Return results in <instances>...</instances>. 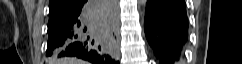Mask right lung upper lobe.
I'll return each instance as SVG.
<instances>
[{
  "mask_svg": "<svg viewBox=\"0 0 242 64\" xmlns=\"http://www.w3.org/2000/svg\"><path fill=\"white\" fill-rule=\"evenodd\" d=\"M83 0H50L49 13H71Z\"/></svg>",
  "mask_w": 242,
  "mask_h": 64,
  "instance_id": "obj_1",
  "label": "right lung upper lobe"
}]
</instances>
